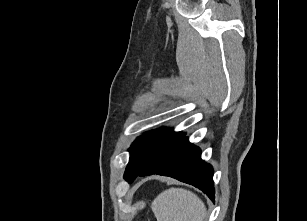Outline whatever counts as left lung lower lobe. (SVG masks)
Here are the masks:
<instances>
[{
  "mask_svg": "<svg viewBox=\"0 0 307 221\" xmlns=\"http://www.w3.org/2000/svg\"><path fill=\"white\" fill-rule=\"evenodd\" d=\"M150 174L170 176L191 184L214 201L213 169L201 159L200 149L191 144L184 135L167 147L136 176Z\"/></svg>",
  "mask_w": 307,
  "mask_h": 221,
  "instance_id": "obj_1",
  "label": "left lung lower lobe"
}]
</instances>
